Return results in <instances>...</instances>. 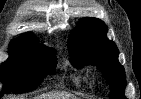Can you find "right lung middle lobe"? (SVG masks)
Masks as SVG:
<instances>
[{
	"label": "right lung middle lobe",
	"instance_id": "obj_1",
	"mask_svg": "<svg viewBox=\"0 0 141 99\" xmlns=\"http://www.w3.org/2000/svg\"><path fill=\"white\" fill-rule=\"evenodd\" d=\"M9 54V58L0 66V80L7 94L35 88L56 67L54 50L42 45L11 42Z\"/></svg>",
	"mask_w": 141,
	"mask_h": 99
}]
</instances>
